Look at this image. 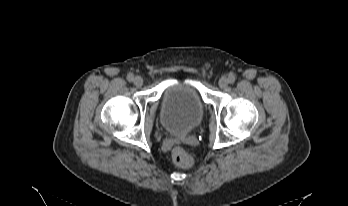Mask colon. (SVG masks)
Masks as SVG:
<instances>
[{
  "label": "colon",
  "instance_id": "5ec220e1",
  "mask_svg": "<svg viewBox=\"0 0 348 206\" xmlns=\"http://www.w3.org/2000/svg\"><path fill=\"white\" fill-rule=\"evenodd\" d=\"M173 161L180 167L188 168L192 165L191 156L181 147H175L172 151Z\"/></svg>",
  "mask_w": 348,
  "mask_h": 206
}]
</instances>
